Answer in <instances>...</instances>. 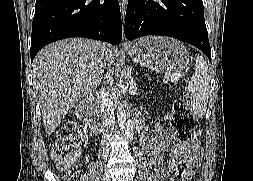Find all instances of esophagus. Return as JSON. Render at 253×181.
Masks as SVG:
<instances>
[{"instance_id":"34e87169","label":"esophagus","mask_w":253,"mask_h":181,"mask_svg":"<svg viewBox=\"0 0 253 181\" xmlns=\"http://www.w3.org/2000/svg\"><path fill=\"white\" fill-rule=\"evenodd\" d=\"M119 4H120L121 17H122V20L124 21L126 7H127V0H119Z\"/></svg>"}]
</instances>
